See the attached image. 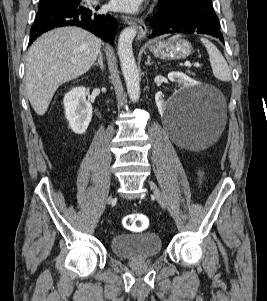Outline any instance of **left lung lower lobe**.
Instances as JSON below:
<instances>
[{"instance_id": "obj_1", "label": "left lung lower lobe", "mask_w": 267, "mask_h": 301, "mask_svg": "<svg viewBox=\"0 0 267 301\" xmlns=\"http://www.w3.org/2000/svg\"><path fill=\"white\" fill-rule=\"evenodd\" d=\"M150 27L151 34L149 38L169 33H198L214 36L224 42L220 25L212 24L192 14L159 10L153 17Z\"/></svg>"}]
</instances>
